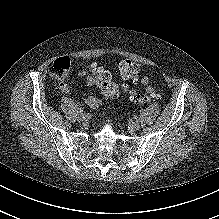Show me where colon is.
I'll use <instances>...</instances> for the list:
<instances>
[{
  "label": "colon",
  "instance_id": "1",
  "mask_svg": "<svg viewBox=\"0 0 219 219\" xmlns=\"http://www.w3.org/2000/svg\"><path fill=\"white\" fill-rule=\"evenodd\" d=\"M70 70V59L67 57H60L51 65L50 74L54 79L62 81L69 75ZM119 70L124 79H135L139 73L138 65L129 60H123L119 64ZM92 71L96 75V84L100 87L101 92L106 99L117 98L124 92L129 95L131 102L137 106L159 98V95L154 90L146 91L145 94H139L131 90L127 84H116L112 81L111 74L101 68H93Z\"/></svg>",
  "mask_w": 219,
  "mask_h": 219
}]
</instances>
